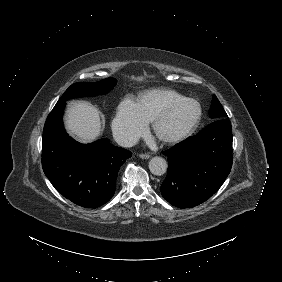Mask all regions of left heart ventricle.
<instances>
[{
    "instance_id": "1",
    "label": "left heart ventricle",
    "mask_w": 282,
    "mask_h": 282,
    "mask_svg": "<svg viewBox=\"0 0 282 282\" xmlns=\"http://www.w3.org/2000/svg\"><path fill=\"white\" fill-rule=\"evenodd\" d=\"M198 107L194 102L185 103L175 110L163 124V131L166 134H173L180 130L186 123L196 116Z\"/></svg>"
}]
</instances>
